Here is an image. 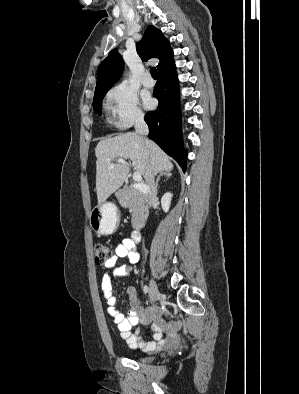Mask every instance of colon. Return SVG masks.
Masks as SVG:
<instances>
[{
	"instance_id": "colon-1",
	"label": "colon",
	"mask_w": 299,
	"mask_h": 394,
	"mask_svg": "<svg viewBox=\"0 0 299 394\" xmlns=\"http://www.w3.org/2000/svg\"><path fill=\"white\" fill-rule=\"evenodd\" d=\"M94 255L98 264H106L112 258L111 247L106 243H96L94 245Z\"/></svg>"
}]
</instances>
